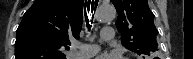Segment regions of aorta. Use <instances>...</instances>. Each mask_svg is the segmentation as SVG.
<instances>
[{
  "mask_svg": "<svg viewBox=\"0 0 193 59\" xmlns=\"http://www.w3.org/2000/svg\"><path fill=\"white\" fill-rule=\"evenodd\" d=\"M95 17L97 21L102 23L111 22L116 17V10L110 4H103L97 9Z\"/></svg>",
  "mask_w": 193,
  "mask_h": 59,
  "instance_id": "aorta-1",
  "label": "aorta"
}]
</instances>
